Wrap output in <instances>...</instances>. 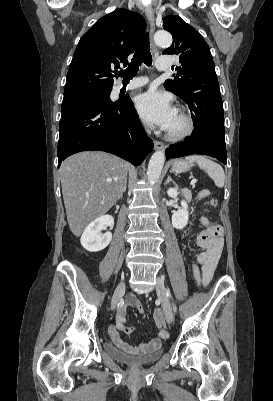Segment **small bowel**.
Listing matches in <instances>:
<instances>
[{
    "mask_svg": "<svg viewBox=\"0 0 273 401\" xmlns=\"http://www.w3.org/2000/svg\"><path fill=\"white\" fill-rule=\"evenodd\" d=\"M203 221H206V218H203ZM205 227L220 228L208 223L205 224ZM197 244L200 248L203 249L202 254L199 256V260L202 263V280L203 283L207 285L213 278L219 257L223 249V241H202V236L200 234L197 238ZM137 299L139 298H137L134 294H129L126 296L123 304L119 307L117 311L114 325L111 326L109 329L110 339L117 347L125 351H131L133 353L156 352L161 346V341H166L168 338L167 328L161 325L163 321L161 317L164 314H162L161 311H158V306L154 307V310L156 311L154 313V316L156 317L155 324L157 325L158 331L157 338L153 339L149 343L140 346H132L123 342L119 336V332L131 335L134 331V328L132 326L126 325V311L128 308H134L135 301Z\"/></svg>",
    "mask_w": 273,
    "mask_h": 401,
    "instance_id": "small-bowel-1",
    "label": "small bowel"
}]
</instances>
